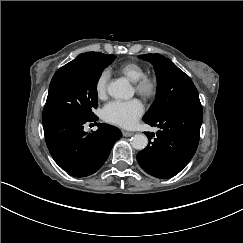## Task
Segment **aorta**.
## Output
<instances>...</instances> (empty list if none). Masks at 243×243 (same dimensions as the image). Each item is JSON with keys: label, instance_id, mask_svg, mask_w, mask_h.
Wrapping results in <instances>:
<instances>
[{"label": "aorta", "instance_id": "aorta-1", "mask_svg": "<svg viewBox=\"0 0 243 243\" xmlns=\"http://www.w3.org/2000/svg\"><path fill=\"white\" fill-rule=\"evenodd\" d=\"M108 93L115 99H130L134 95V89L126 78H119L108 86ZM131 144L136 150H143L148 144V138L144 134H135Z\"/></svg>", "mask_w": 243, "mask_h": 243}]
</instances>
